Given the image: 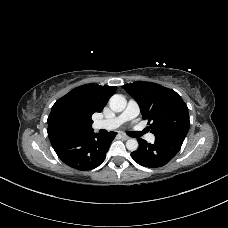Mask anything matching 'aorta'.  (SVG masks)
I'll list each match as a JSON object with an SVG mask.
<instances>
[{"label":"aorta","instance_id":"aorta-1","mask_svg":"<svg viewBox=\"0 0 228 228\" xmlns=\"http://www.w3.org/2000/svg\"><path fill=\"white\" fill-rule=\"evenodd\" d=\"M127 105V101L123 95L115 94L109 100V106L114 112H122ZM138 141L134 138L128 139L126 142V147L130 151H136L138 149Z\"/></svg>","mask_w":228,"mask_h":228}]
</instances>
